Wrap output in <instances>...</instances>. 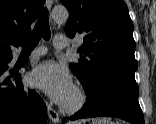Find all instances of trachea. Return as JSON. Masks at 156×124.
Segmentation results:
<instances>
[{
	"label": "trachea",
	"mask_w": 156,
	"mask_h": 124,
	"mask_svg": "<svg viewBox=\"0 0 156 124\" xmlns=\"http://www.w3.org/2000/svg\"><path fill=\"white\" fill-rule=\"evenodd\" d=\"M41 37H43L45 40H49L51 37L47 8L42 10L30 35L24 39H19L18 44L23 47V50H33L39 43Z\"/></svg>",
	"instance_id": "3493384b"
}]
</instances>
